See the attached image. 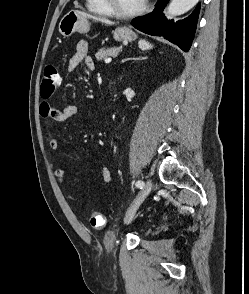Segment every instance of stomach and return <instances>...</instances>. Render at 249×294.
<instances>
[{
    "label": "stomach",
    "instance_id": "1",
    "mask_svg": "<svg viewBox=\"0 0 249 294\" xmlns=\"http://www.w3.org/2000/svg\"><path fill=\"white\" fill-rule=\"evenodd\" d=\"M58 29L63 37H70L75 32L87 33L90 29L89 18L78 11H69L61 19ZM113 37L116 41H133L136 39V34L129 27L124 26L116 28Z\"/></svg>",
    "mask_w": 249,
    "mask_h": 294
}]
</instances>
